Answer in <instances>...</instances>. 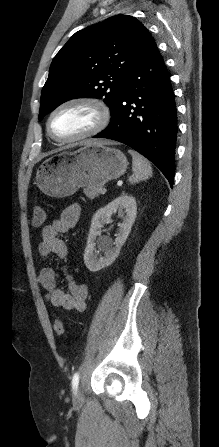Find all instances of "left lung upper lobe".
I'll list each match as a JSON object with an SVG mask.
<instances>
[{"mask_svg": "<svg viewBox=\"0 0 219 447\" xmlns=\"http://www.w3.org/2000/svg\"><path fill=\"white\" fill-rule=\"evenodd\" d=\"M151 38L146 27L128 15H115L76 32L51 63L39 120L80 97L102 98L112 114L131 68Z\"/></svg>", "mask_w": 219, "mask_h": 447, "instance_id": "obj_1", "label": "left lung upper lobe"}]
</instances>
